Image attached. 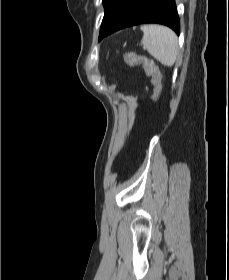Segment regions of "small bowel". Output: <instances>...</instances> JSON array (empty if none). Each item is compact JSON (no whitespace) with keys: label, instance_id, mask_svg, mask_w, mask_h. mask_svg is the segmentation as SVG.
Segmentation results:
<instances>
[{"label":"small bowel","instance_id":"c3829d8e","mask_svg":"<svg viewBox=\"0 0 229 280\" xmlns=\"http://www.w3.org/2000/svg\"><path fill=\"white\" fill-rule=\"evenodd\" d=\"M152 64V63H151ZM143 68H144V70H145V72H146V74L147 75H150L149 73H148V71H147V67L144 65V66H142Z\"/></svg>","mask_w":229,"mask_h":280}]
</instances>
